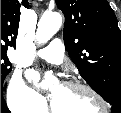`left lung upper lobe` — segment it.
Segmentation results:
<instances>
[{"label":"left lung upper lobe","mask_w":121,"mask_h":113,"mask_svg":"<svg viewBox=\"0 0 121 113\" xmlns=\"http://www.w3.org/2000/svg\"><path fill=\"white\" fill-rule=\"evenodd\" d=\"M64 41L80 75L121 113V31L107 0H56Z\"/></svg>","instance_id":"5c2ea615"}]
</instances>
